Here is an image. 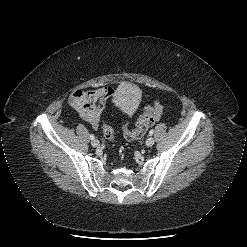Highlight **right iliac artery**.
I'll list each match as a JSON object with an SVG mask.
<instances>
[{
    "label": "right iliac artery",
    "instance_id": "right-iliac-artery-1",
    "mask_svg": "<svg viewBox=\"0 0 247 247\" xmlns=\"http://www.w3.org/2000/svg\"><path fill=\"white\" fill-rule=\"evenodd\" d=\"M90 139L91 140H94L95 139V136L93 134L90 135Z\"/></svg>",
    "mask_w": 247,
    "mask_h": 247
}]
</instances>
